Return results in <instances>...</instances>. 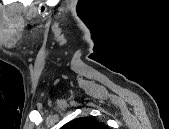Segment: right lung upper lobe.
I'll list each match as a JSON object with an SVG mask.
<instances>
[{
    "instance_id": "right-lung-upper-lobe-1",
    "label": "right lung upper lobe",
    "mask_w": 169,
    "mask_h": 129,
    "mask_svg": "<svg viewBox=\"0 0 169 129\" xmlns=\"http://www.w3.org/2000/svg\"><path fill=\"white\" fill-rule=\"evenodd\" d=\"M64 129H105V125L91 117H80L67 124Z\"/></svg>"
}]
</instances>
